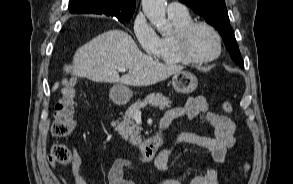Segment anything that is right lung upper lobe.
<instances>
[{
  "mask_svg": "<svg viewBox=\"0 0 293 184\" xmlns=\"http://www.w3.org/2000/svg\"><path fill=\"white\" fill-rule=\"evenodd\" d=\"M135 0H70L69 11L72 14H104L107 16H132Z\"/></svg>",
  "mask_w": 293,
  "mask_h": 184,
  "instance_id": "right-lung-upper-lobe-1",
  "label": "right lung upper lobe"
}]
</instances>
